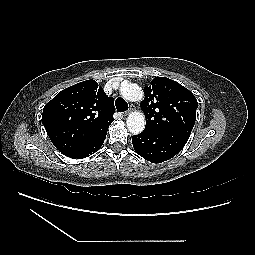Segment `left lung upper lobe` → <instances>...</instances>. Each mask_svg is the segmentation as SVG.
Listing matches in <instances>:
<instances>
[{"label":"left lung upper lobe","mask_w":255,"mask_h":255,"mask_svg":"<svg viewBox=\"0 0 255 255\" xmlns=\"http://www.w3.org/2000/svg\"><path fill=\"white\" fill-rule=\"evenodd\" d=\"M141 109L146 117L144 131L189 135L196 120L198 103L191 91L166 77H156L144 88Z\"/></svg>","instance_id":"left-lung-upper-lobe-1"}]
</instances>
